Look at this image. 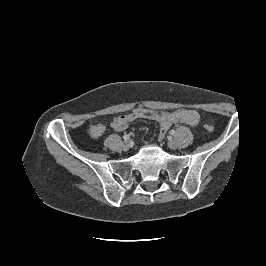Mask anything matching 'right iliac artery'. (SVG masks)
<instances>
[{
  "label": "right iliac artery",
  "mask_w": 266,
  "mask_h": 266,
  "mask_svg": "<svg viewBox=\"0 0 266 266\" xmlns=\"http://www.w3.org/2000/svg\"><path fill=\"white\" fill-rule=\"evenodd\" d=\"M123 139L126 141V140H129L130 139V136L128 134L124 135L123 136Z\"/></svg>",
  "instance_id": "right-iliac-artery-1"
}]
</instances>
